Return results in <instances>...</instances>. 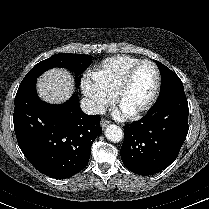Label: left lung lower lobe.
Here are the masks:
<instances>
[{"label": "left lung lower lobe", "instance_id": "obj_1", "mask_svg": "<svg viewBox=\"0 0 209 209\" xmlns=\"http://www.w3.org/2000/svg\"><path fill=\"white\" fill-rule=\"evenodd\" d=\"M188 102L184 89L163 93L139 121L124 126L120 155L135 174L152 175L178 156L188 133Z\"/></svg>", "mask_w": 209, "mask_h": 209}]
</instances>
